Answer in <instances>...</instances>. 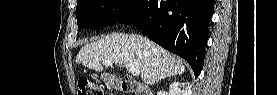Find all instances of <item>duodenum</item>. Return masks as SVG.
Segmentation results:
<instances>
[{"instance_id": "410a0bca", "label": "duodenum", "mask_w": 277, "mask_h": 95, "mask_svg": "<svg viewBox=\"0 0 277 95\" xmlns=\"http://www.w3.org/2000/svg\"><path fill=\"white\" fill-rule=\"evenodd\" d=\"M110 85L114 88L119 87L128 94H145V88L142 85L135 84L126 80L111 77Z\"/></svg>"}]
</instances>
